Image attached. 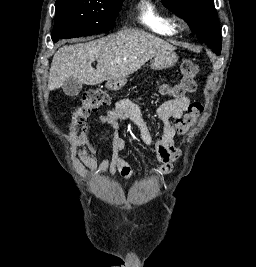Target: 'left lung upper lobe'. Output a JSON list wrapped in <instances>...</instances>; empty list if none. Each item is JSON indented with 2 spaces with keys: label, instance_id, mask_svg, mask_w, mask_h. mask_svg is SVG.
<instances>
[{
  "label": "left lung upper lobe",
  "instance_id": "left-lung-upper-lobe-1",
  "mask_svg": "<svg viewBox=\"0 0 256 267\" xmlns=\"http://www.w3.org/2000/svg\"><path fill=\"white\" fill-rule=\"evenodd\" d=\"M172 12L183 18L198 39L218 55L221 51L219 21L214 0H161Z\"/></svg>",
  "mask_w": 256,
  "mask_h": 267
}]
</instances>
